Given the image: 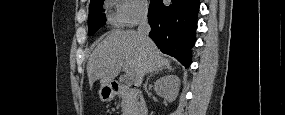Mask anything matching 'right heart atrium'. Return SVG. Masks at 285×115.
<instances>
[{
    "label": "right heart atrium",
    "mask_w": 285,
    "mask_h": 115,
    "mask_svg": "<svg viewBox=\"0 0 285 115\" xmlns=\"http://www.w3.org/2000/svg\"><path fill=\"white\" fill-rule=\"evenodd\" d=\"M115 24L132 27L142 22L147 15V2L144 0H117Z\"/></svg>",
    "instance_id": "d8ad5b80"
}]
</instances>
